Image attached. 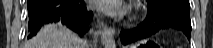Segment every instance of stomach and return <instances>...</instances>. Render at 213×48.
Listing matches in <instances>:
<instances>
[{
	"instance_id": "0dacf381",
	"label": "stomach",
	"mask_w": 213,
	"mask_h": 48,
	"mask_svg": "<svg viewBox=\"0 0 213 48\" xmlns=\"http://www.w3.org/2000/svg\"><path fill=\"white\" fill-rule=\"evenodd\" d=\"M166 31H163V33H165ZM147 42H149L148 40H144V41H141L139 43H137L136 45H133V46H129L127 48H138L140 46H145L147 44Z\"/></svg>"
}]
</instances>
